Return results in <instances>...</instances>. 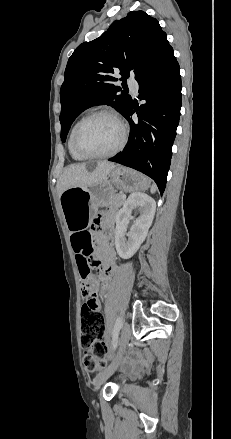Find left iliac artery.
Listing matches in <instances>:
<instances>
[{
    "instance_id": "obj_1",
    "label": "left iliac artery",
    "mask_w": 231,
    "mask_h": 439,
    "mask_svg": "<svg viewBox=\"0 0 231 439\" xmlns=\"http://www.w3.org/2000/svg\"><path fill=\"white\" fill-rule=\"evenodd\" d=\"M121 327H122V322H121L120 319H118L117 322H116V325H115V328H114V331H113V337H112V346H113L114 350L117 347L118 334H119V331H120Z\"/></svg>"
}]
</instances>
